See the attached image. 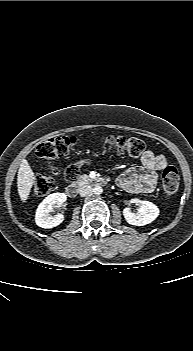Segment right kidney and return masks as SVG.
<instances>
[{"label": "right kidney", "instance_id": "right-kidney-1", "mask_svg": "<svg viewBox=\"0 0 193 351\" xmlns=\"http://www.w3.org/2000/svg\"><path fill=\"white\" fill-rule=\"evenodd\" d=\"M67 200L65 193H53L48 195L38 206L35 215V222L39 227L42 228H53L63 222L64 216L57 214L51 216L50 212H53V206L55 204L62 205Z\"/></svg>", "mask_w": 193, "mask_h": 351}]
</instances>
